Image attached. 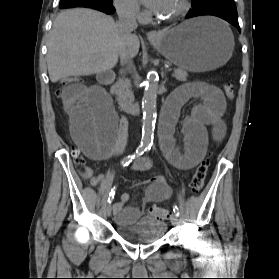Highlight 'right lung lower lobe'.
I'll return each instance as SVG.
<instances>
[{
  "label": "right lung lower lobe",
  "mask_w": 279,
  "mask_h": 279,
  "mask_svg": "<svg viewBox=\"0 0 279 279\" xmlns=\"http://www.w3.org/2000/svg\"><path fill=\"white\" fill-rule=\"evenodd\" d=\"M61 8L87 7L102 11L106 14H111L115 11L112 3L104 2L103 0H61Z\"/></svg>",
  "instance_id": "right-lung-lower-lobe-1"
}]
</instances>
